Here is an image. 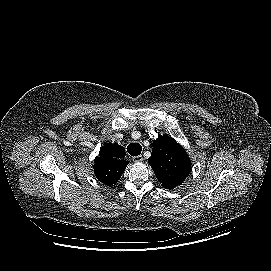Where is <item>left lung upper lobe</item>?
Returning a JSON list of instances; mask_svg holds the SVG:
<instances>
[{"label": "left lung upper lobe", "mask_w": 271, "mask_h": 271, "mask_svg": "<svg viewBox=\"0 0 271 271\" xmlns=\"http://www.w3.org/2000/svg\"><path fill=\"white\" fill-rule=\"evenodd\" d=\"M148 162L166 189L180 185L191 171V161L184 148L165 135L153 141V150Z\"/></svg>", "instance_id": "obj_1"}]
</instances>
